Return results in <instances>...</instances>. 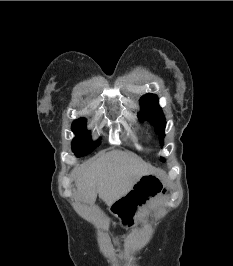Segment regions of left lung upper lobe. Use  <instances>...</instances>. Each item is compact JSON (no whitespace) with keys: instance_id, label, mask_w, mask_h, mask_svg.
<instances>
[{"instance_id":"5c2ea615","label":"left lung upper lobe","mask_w":233,"mask_h":266,"mask_svg":"<svg viewBox=\"0 0 233 266\" xmlns=\"http://www.w3.org/2000/svg\"><path fill=\"white\" fill-rule=\"evenodd\" d=\"M140 105L141 111L138 113V118L141 122L147 120L154 126L156 133L160 136L161 145H163L166 121L161 107L158 105L157 96L150 93L142 96L140 98Z\"/></svg>"}]
</instances>
